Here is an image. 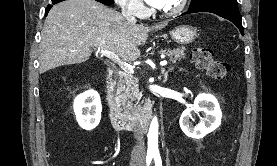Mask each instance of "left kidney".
<instances>
[{"instance_id":"left-kidney-1","label":"left kidney","mask_w":277,"mask_h":166,"mask_svg":"<svg viewBox=\"0 0 277 166\" xmlns=\"http://www.w3.org/2000/svg\"><path fill=\"white\" fill-rule=\"evenodd\" d=\"M201 112L203 117L195 127L189 122L194 113ZM222 112L217 99L211 94H199L194 104L187 108L180 117V127L182 131L191 138L200 139L216 130L220 125Z\"/></svg>"}]
</instances>
